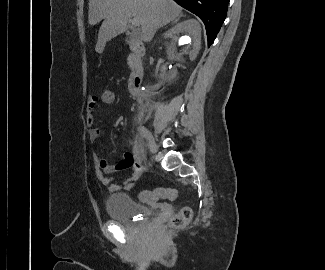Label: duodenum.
Returning <instances> with one entry per match:
<instances>
[{"label": "duodenum", "instance_id": "1", "mask_svg": "<svg viewBox=\"0 0 325 270\" xmlns=\"http://www.w3.org/2000/svg\"><path fill=\"white\" fill-rule=\"evenodd\" d=\"M130 63L132 71L129 78L131 92L138 98L141 96V88L144 79V69L142 60L145 55V47L142 42L132 41L130 43Z\"/></svg>", "mask_w": 325, "mask_h": 270}]
</instances>
